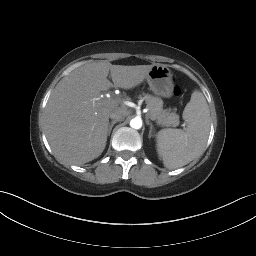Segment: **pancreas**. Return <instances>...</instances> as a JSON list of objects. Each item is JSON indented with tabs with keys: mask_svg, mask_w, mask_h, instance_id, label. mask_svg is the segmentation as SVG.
I'll return each instance as SVG.
<instances>
[{
	"mask_svg": "<svg viewBox=\"0 0 256 256\" xmlns=\"http://www.w3.org/2000/svg\"><path fill=\"white\" fill-rule=\"evenodd\" d=\"M145 102L149 110L146 114L147 118L156 121V123L162 127H176L179 125V115L170 108L163 109L162 99L147 95Z\"/></svg>",
	"mask_w": 256,
	"mask_h": 256,
	"instance_id": "pancreas-1",
	"label": "pancreas"
}]
</instances>
